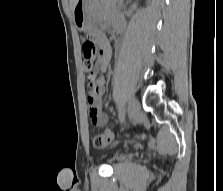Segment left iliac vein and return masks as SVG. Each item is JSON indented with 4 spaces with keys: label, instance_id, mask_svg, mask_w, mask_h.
Segmentation results:
<instances>
[{
    "label": "left iliac vein",
    "instance_id": "left-iliac-vein-1",
    "mask_svg": "<svg viewBox=\"0 0 223 191\" xmlns=\"http://www.w3.org/2000/svg\"><path fill=\"white\" fill-rule=\"evenodd\" d=\"M140 109H141V106H140L139 101L136 98L131 97L128 102V115L131 122L136 121L140 113Z\"/></svg>",
    "mask_w": 223,
    "mask_h": 191
}]
</instances>
